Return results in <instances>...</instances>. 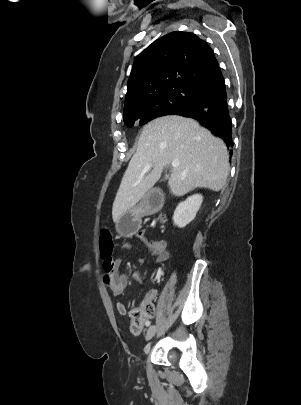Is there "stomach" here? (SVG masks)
Returning a JSON list of instances; mask_svg holds the SVG:
<instances>
[{
    "mask_svg": "<svg viewBox=\"0 0 301 405\" xmlns=\"http://www.w3.org/2000/svg\"><path fill=\"white\" fill-rule=\"evenodd\" d=\"M140 208H131L126 211L116 223L117 231L121 235L135 233L141 225Z\"/></svg>",
    "mask_w": 301,
    "mask_h": 405,
    "instance_id": "1",
    "label": "stomach"
}]
</instances>
